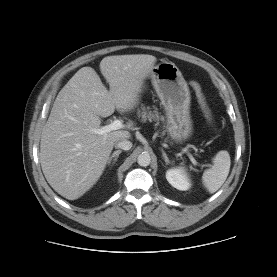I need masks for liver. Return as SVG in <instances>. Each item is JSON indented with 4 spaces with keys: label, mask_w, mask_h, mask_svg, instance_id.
<instances>
[{
    "label": "liver",
    "mask_w": 277,
    "mask_h": 277,
    "mask_svg": "<svg viewBox=\"0 0 277 277\" xmlns=\"http://www.w3.org/2000/svg\"><path fill=\"white\" fill-rule=\"evenodd\" d=\"M156 61L147 54L107 56L100 71L109 90L91 67L79 69L60 90L42 129L39 153L43 174L58 194L81 197L102 175L115 143L131 137L128 130L104 135L92 130L100 128V117L135 106Z\"/></svg>",
    "instance_id": "liver-1"
}]
</instances>
